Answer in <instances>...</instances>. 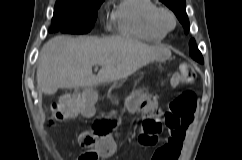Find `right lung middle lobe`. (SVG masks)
Instances as JSON below:
<instances>
[{"mask_svg": "<svg viewBox=\"0 0 242 160\" xmlns=\"http://www.w3.org/2000/svg\"><path fill=\"white\" fill-rule=\"evenodd\" d=\"M104 0H57L49 32L88 33Z\"/></svg>", "mask_w": 242, "mask_h": 160, "instance_id": "dd1d6c3e", "label": "right lung middle lobe"}]
</instances>
